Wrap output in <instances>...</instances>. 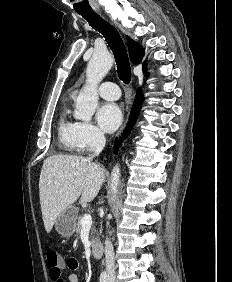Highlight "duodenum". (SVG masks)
<instances>
[{"label":"duodenum","mask_w":232,"mask_h":282,"mask_svg":"<svg viewBox=\"0 0 232 282\" xmlns=\"http://www.w3.org/2000/svg\"><path fill=\"white\" fill-rule=\"evenodd\" d=\"M91 252L95 259H100L103 256V246L100 242H93Z\"/></svg>","instance_id":"1"}]
</instances>
